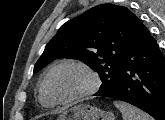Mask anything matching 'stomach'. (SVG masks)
<instances>
[{"label":"stomach","mask_w":165,"mask_h":120,"mask_svg":"<svg viewBox=\"0 0 165 120\" xmlns=\"http://www.w3.org/2000/svg\"><path fill=\"white\" fill-rule=\"evenodd\" d=\"M57 120H115V117L111 112L88 104H79L59 115Z\"/></svg>","instance_id":"1"}]
</instances>
